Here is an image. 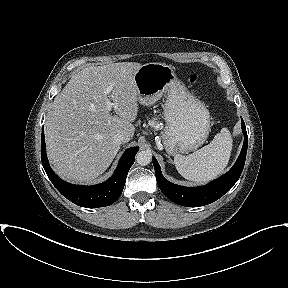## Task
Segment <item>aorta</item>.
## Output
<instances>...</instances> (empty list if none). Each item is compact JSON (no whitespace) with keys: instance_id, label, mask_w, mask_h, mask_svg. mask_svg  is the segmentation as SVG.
Returning a JSON list of instances; mask_svg holds the SVG:
<instances>
[{"instance_id":"obj_1","label":"aorta","mask_w":288,"mask_h":288,"mask_svg":"<svg viewBox=\"0 0 288 288\" xmlns=\"http://www.w3.org/2000/svg\"><path fill=\"white\" fill-rule=\"evenodd\" d=\"M152 160V155L148 151H139L136 155V161L141 166L148 165Z\"/></svg>"}]
</instances>
